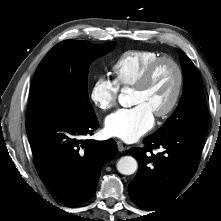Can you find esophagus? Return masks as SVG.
I'll use <instances>...</instances> for the list:
<instances>
[{"instance_id":"esophagus-1","label":"esophagus","mask_w":221,"mask_h":221,"mask_svg":"<svg viewBox=\"0 0 221 221\" xmlns=\"http://www.w3.org/2000/svg\"><path fill=\"white\" fill-rule=\"evenodd\" d=\"M117 145H118V150H119L120 152L126 150V146L122 143V141H117Z\"/></svg>"}]
</instances>
